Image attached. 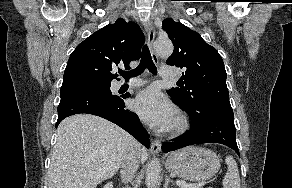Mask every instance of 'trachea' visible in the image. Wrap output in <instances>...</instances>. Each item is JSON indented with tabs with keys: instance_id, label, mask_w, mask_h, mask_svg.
<instances>
[{
	"instance_id": "trachea-1",
	"label": "trachea",
	"mask_w": 292,
	"mask_h": 188,
	"mask_svg": "<svg viewBox=\"0 0 292 188\" xmlns=\"http://www.w3.org/2000/svg\"><path fill=\"white\" fill-rule=\"evenodd\" d=\"M148 69L152 74L157 73V68L151 58V54L147 45H145L142 49V58L140 64L133 70L121 72L120 75L125 79H129L131 77H136L144 72L145 69Z\"/></svg>"
}]
</instances>
